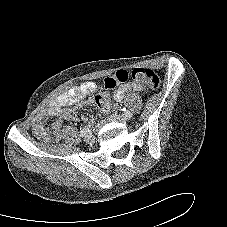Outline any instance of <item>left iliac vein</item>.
I'll use <instances>...</instances> for the list:
<instances>
[{
	"label": "left iliac vein",
	"mask_w": 227,
	"mask_h": 227,
	"mask_svg": "<svg viewBox=\"0 0 227 227\" xmlns=\"http://www.w3.org/2000/svg\"><path fill=\"white\" fill-rule=\"evenodd\" d=\"M132 113H130L129 115H116V114H112L109 116V121H112V122H126L127 120L131 119L132 118Z\"/></svg>",
	"instance_id": "obj_1"
}]
</instances>
